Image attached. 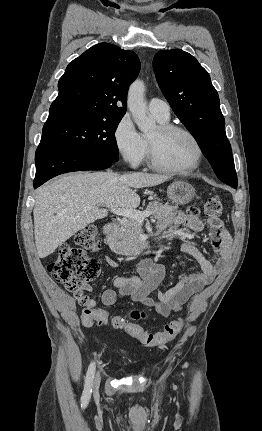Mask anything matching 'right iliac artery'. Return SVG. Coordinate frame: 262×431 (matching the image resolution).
<instances>
[{
  "label": "right iliac artery",
  "mask_w": 262,
  "mask_h": 431,
  "mask_svg": "<svg viewBox=\"0 0 262 431\" xmlns=\"http://www.w3.org/2000/svg\"><path fill=\"white\" fill-rule=\"evenodd\" d=\"M94 373H95V363L92 362L88 368L86 378H85V389L83 391V396H82L83 400L88 401L91 396Z\"/></svg>",
  "instance_id": "1"
}]
</instances>
